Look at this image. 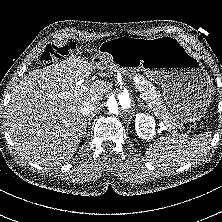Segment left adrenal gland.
<instances>
[{"label": "left adrenal gland", "instance_id": "1", "mask_svg": "<svg viewBox=\"0 0 222 222\" xmlns=\"http://www.w3.org/2000/svg\"><path fill=\"white\" fill-rule=\"evenodd\" d=\"M138 102L140 107L147 108L140 98H138Z\"/></svg>", "mask_w": 222, "mask_h": 222}]
</instances>
